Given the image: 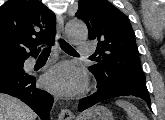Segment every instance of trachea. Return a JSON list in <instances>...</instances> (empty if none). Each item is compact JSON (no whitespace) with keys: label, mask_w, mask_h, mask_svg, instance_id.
<instances>
[{"label":"trachea","mask_w":165,"mask_h":120,"mask_svg":"<svg viewBox=\"0 0 165 120\" xmlns=\"http://www.w3.org/2000/svg\"><path fill=\"white\" fill-rule=\"evenodd\" d=\"M60 47L64 52L70 55H78L76 50L63 39H60ZM50 51H51V48H46L43 50L42 54H49Z\"/></svg>","instance_id":"3493384b"}]
</instances>
